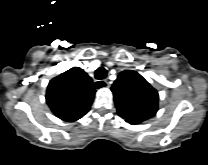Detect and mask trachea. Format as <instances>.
<instances>
[{"mask_svg": "<svg viewBox=\"0 0 208 165\" xmlns=\"http://www.w3.org/2000/svg\"><path fill=\"white\" fill-rule=\"evenodd\" d=\"M107 76V71L104 67H100L95 71V78L98 80L104 79ZM102 86L96 84V88H101Z\"/></svg>", "mask_w": 208, "mask_h": 165, "instance_id": "1", "label": "trachea"}]
</instances>
